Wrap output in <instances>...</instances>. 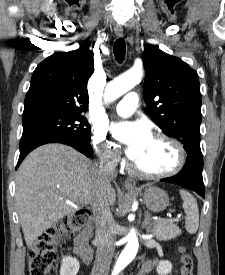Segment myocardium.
<instances>
[{
	"label": "myocardium",
	"mask_w": 225,
	"mask_h": 275,
	"mask_svg": "<svg viewBox=\"0 0 225 275\" xmlns=\"http://www.w3.org/2000/svg\"><path fill=\"white\" fill-rule=\"evenodd\" d=\"M153 138L156 139H161L166 141L167 143H169L175 150V154H176V161L174 166L164 172H160V173H148V172H144L143 170H141L136 163L133 164V170L134 172L145 179H162V178H167V177H171L175 174H177L178 172L181 171V169L183 168L184 164H185V160H186V154H185V150L183 145L176 140L175 138L165 134V133H156L154 134Z\"/></svg>",
	"instance_id": "f54148a6"
}]
</instances>
